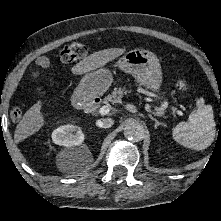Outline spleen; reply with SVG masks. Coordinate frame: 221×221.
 <instances>
[{
  "instance_id": "1",
  "label": "spleen",
  "mask_w": 221,
  "mask_h": 221,
  "mask_svg": "<svg viewBox=\"0 0 221 221\" xmlns=\"http://www.w3.org/2000/svg\"><path fill=\"white\" fill-rule=\"evenodd\" d=\"M216 133L214 113L211 105H205L204 99L197 101V109L190 114L188 122H180L172 131L173 139L180 145L204 150L211 145Z\"/></svg>"
}]
</instances>
